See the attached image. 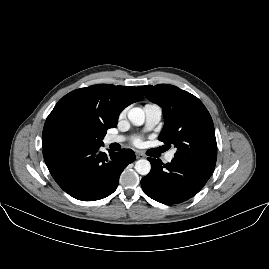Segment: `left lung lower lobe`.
Segmentation results:
<instances>
[{"label":"left lung lower lobe","mask_w":269,"mask_h":269,"mask_svg":"<svg viewBox=\"0 0 269 269\" xmlns=\"http://www.w3.org/2000/svg\"><path fill=\"white\" fill-rule=\"evenodd\" d=\"M150 173L142 178L141 186L150 198L167 205L181 203L197 194L213 172L210 169L173 158L163 164L160 159L148 158Z\"/></svg>","instance_id":"obj_1"}]
</instances>
